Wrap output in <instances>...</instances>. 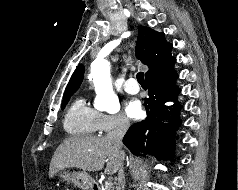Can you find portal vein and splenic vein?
I'll return each instance as SVG.
<instances>
[{
  "instance_id": "18ae733b",
  "label": "portal vein and splenic vein",
  "mask_w": 238,
  "mask_h": 190,
  "mask_svg": "<svg viewBox=\"0 0 238 190\" xmlns=\"http://www.w3.org/2000/svg\"><path fill=\"white\" fill-rule=\"evenodd\" d=\"M105 186H106V187H111V186H112V182H111V181H107V182L105 183Z\"/></svg>"
}]
</instances>
